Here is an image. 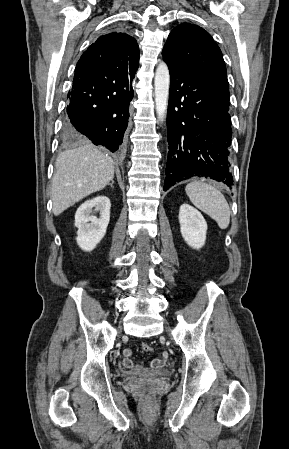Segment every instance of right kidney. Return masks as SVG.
<instances>
[{
  "instance_id": "ca27d5eb",
  "label": "right kidney",
  "mask_w": 289,
  "mask_h": 449,
  "mask_svg": "<svg viewBox=\"0 0 289 449\" xmlns=\"http://www.w3.org/2000/svg\"><path fill=\"white\" fill-rule=\"evenodd\" d=\"M111 203L108 197L98 196L87 200L77 209L75 226L78 228L76 241L84 251H92L103 239L110 221ZM99 212L100 218L92 215Z\"/></svg>"
}]
</instances>
